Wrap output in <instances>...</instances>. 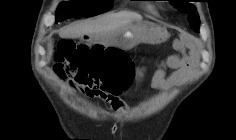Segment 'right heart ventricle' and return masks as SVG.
<instances>
[{"label": "right heart ventricle", "instance_id": "e07e8e85", "mask_svg": "<svg viewBox=\"0 0 236 140\" xmlns=\"http://www.w3.org/2000/svg\"><path fill=\"white\" fill-rule=\"evenodd\" d=\"M142 9L147 13H154L155 12V8L153 5H144V6H142Z\"/></svg>", "mask_w": 236, "mask_h": 140}]
</instances>
